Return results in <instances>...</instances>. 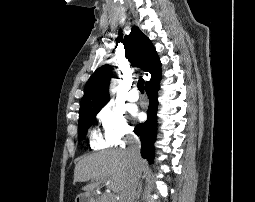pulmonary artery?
<instances>
[{"label":"pulmonary artery","mask_w":255,"mask_h":202,"mask_svg":"<svg viewBox=\"0 0 255 202\" xmlns=\"http://www.w3.org/2000/svg\"><path fill=\"white\" fill-rule=\"evenodd\" d=\"M127 99L131 102H135L139 99L138 91L135 87H132L127 94Z\"/></svg>","instance_id":"pulmonary-artery-1"}]
</instances>
